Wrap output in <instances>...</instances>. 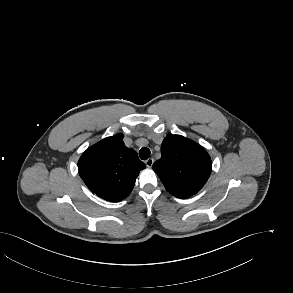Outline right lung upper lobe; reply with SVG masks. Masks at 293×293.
<instances>
[{"instance_id":"cb5924a9","label":"right lung upper lobe","mask_w":293,"mask_h":293,"mask_svg":"<svg viewBox=\"0 0 293 293\" xmlns=\"http://www.w3.org/2000/svg\"><path fill=\"white\" fill-rule=\"evenodd\" d=\"M122 134L108 137L88 148L78 161L79 175L97 196L118 202L132 191L145 164L135 150L124 145Z\"/></svg>"}]
</instances>
